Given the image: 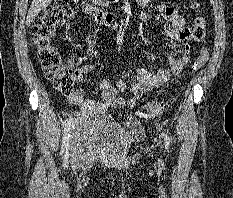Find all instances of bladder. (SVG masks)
<instances>
[{
	"instance_id": "bladder-1",
	"label": "bladder",
	"mask_w": 233,
	"mask_h": 198,
	"mask_svg": "<svg viewBox=\"0 0 233 198\" xmlns=\"http://www.w3.org/2000/svg\"><path fill=\"white\" fill-rule=\"evenodd\" d=\"M144 135L134 121L120 123L98 112H84L74 117L71 142L81 151L122 156L132 151Z\"/></svg>"
}]
</instances>
